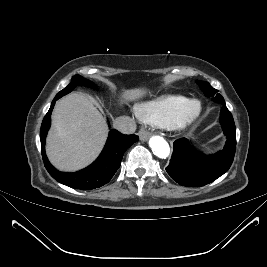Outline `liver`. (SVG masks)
I'll list each match as a JSON object with an SVG mask.
<instances>
[{
  "label": "liver",
  "instance_id": "obj_1",
  "mask_svg": "<svg viewBox=\"0 0 267 267\" xmlns=\"http://www.w3.org/2000/svg\"><path fill=\"white\" fill-rule=\"evenodd\" d=\"M144 94L142 89H131L123 93V98L137 100ZM107 135L106 120L92 101L82 94H69L54 107L46 143L47 156L59 170H79L95 160Z\"/></svg>",
  "mask_w": 267,
  "mask_h": 267
}]
</instances>
